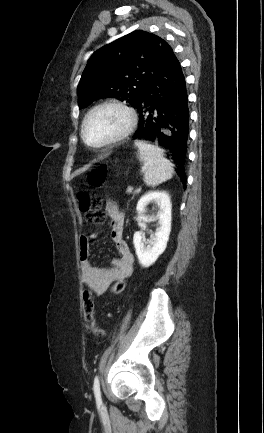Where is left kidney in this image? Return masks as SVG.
<instances>
[{
  "label": "left kidney",
  "instance_id": "left-kidney-1",
  "mask_svg": "<svg viewBox=\"0 0 264 433\" xmlns=\"http://www.w3.org/2000/svg\"><path fill=\"white\" fill-rule=\"evenodd\" d=\"M154 202L158 206L156 218L159 227L146 242L141 232L133 236V243L141 266L150 267L158 257L165 251L171 232V202L169 194L165 191H150L140 198L137 203V211L141 214L147 212V206Z\"/></svg>",
  "mask_w": 264,
  "mask_h": 433
}]
</instances>
